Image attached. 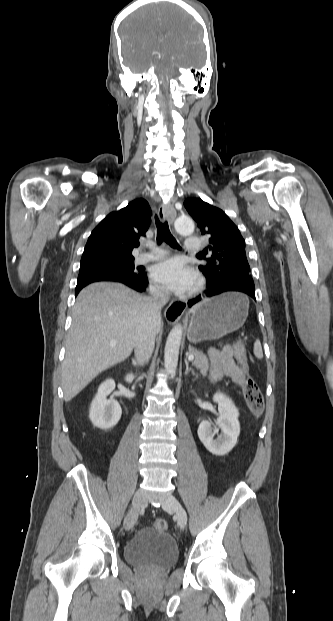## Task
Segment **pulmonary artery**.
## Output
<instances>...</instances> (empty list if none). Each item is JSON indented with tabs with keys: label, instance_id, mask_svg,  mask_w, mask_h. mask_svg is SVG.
Wrapping results in <instances>:
<instances>
[{
	"label": "pulmonary artery",
	"instance_id": "obj_1",
	"mask_svg": "<svg viewBox=\"0 0 333 621\" xmlns=\"http://www.w3.org/2000/svg\"><path fill=\"white\" fill-rule=\"evenodd\" d=\"M151 252H143L136 258L137 263H145L148 261L156 260L164 255V251L158 247L152 246ZM202 249V240L198 237L192 236L186 240V251L198 252Z\"/></svg>",
	"mask_w": 333,
	"mask_h": 621
}]
</instances>
